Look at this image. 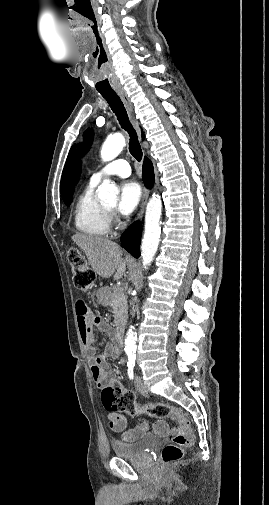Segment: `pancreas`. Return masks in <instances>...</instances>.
<instances>
[{"instance_id":"obj_1","label":"pancreas","mask_w":269,"mask_h":505,"mask_svg":"<svg viewBox=\"0 0 269 505\" xmlns=\"http://www.w3.org/2000/svg\"><path fill=\"white\" fill-rule=\"evenodd\" d=\"M110 298V307L114 313V324L117 326L123 325L127 317V298L125 291L121 287L112 289Z\"/></svg>"}]
</instances>
